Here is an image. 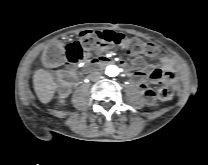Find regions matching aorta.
Here are the masks:
<instances>
[{"label": "aorta", "instance_id": "aorta-1", "mask_svg": "<svg viewBox=\"0 0 208 165\" xmlns=\"http://www.w3.org/2000/svg\"><path fill=\"white\" fill-rule=\"evenodd\" d=\"M106 74L110 77H115L119 74V68L115 65H109L106 67Z\"/></svg>", "mask_w": 208, "mask_h": 165}]
</instances>
